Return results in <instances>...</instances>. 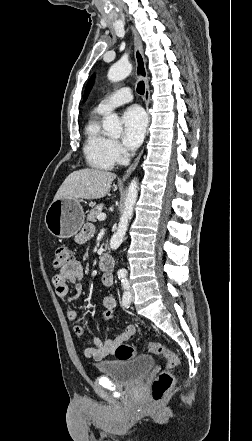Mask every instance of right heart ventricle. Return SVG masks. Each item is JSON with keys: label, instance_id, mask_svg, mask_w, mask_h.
Masks as SVG:
<instances>
[{"label": "right heart ventricle", "instance_id": "obj_1", "mask_svg": "<svg viewBox=\"0 0 252 441\" xmlns=\"http://www.w3.org/2000/svg\"><path fill=\"white\" fill-rule=\"evenodd\" d=\"M102 114L96 110L85 125L83 153L90 167L98 170H111L116 160L111 151V139L100 126Z\"/></svg>", "mask_w": 252, "mask_h": 441}]
</instances>
